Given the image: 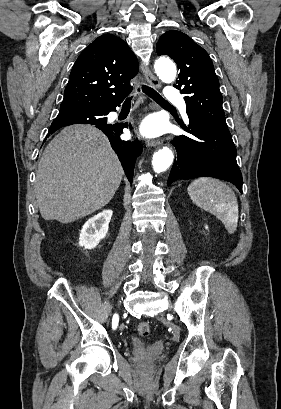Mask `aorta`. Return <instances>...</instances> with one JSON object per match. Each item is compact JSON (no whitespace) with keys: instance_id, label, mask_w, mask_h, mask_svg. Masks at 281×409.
I'll use <instances>...</instances> for the list:
<instances>
[{"instance_id":"obj_1","label":"aorta","mask_w":281,"mask_h":409,"mask_svg":"<svg viewBox=\"0 0 281 409\" xmlns=\"http://www.w3.org/2000/svg\"><path fill=\"white\" fill-rule=\"evenodd\" d=\"M158 77L165 83H171L176 78V66L168 58H160L156 60L154 65ZM174 159L173 152L168 147H163L153 155L152 166L156 173L166 171L172 164Z\"/></svg>"}]
</instances>
